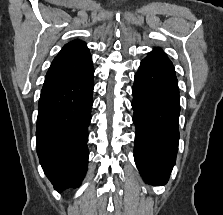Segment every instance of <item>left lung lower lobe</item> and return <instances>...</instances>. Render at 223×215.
<instances>
[{
    "label": "left lung lower lobe",
    "instance_id": "1",
    "mask_svg": "<svg viewBox=\"0 0 223 215\" xmlns=\"http://www.w3.org/2000/svg\"><path fill=\"white\" fill-rule=\"evenodd\" d=\"M132 92L135 163L146 183L165 185L179 142V89L173 65L143 59Z\"/></svg>",
    "mask_w": 223,
    "mask_h": 215
}]
</instances>
